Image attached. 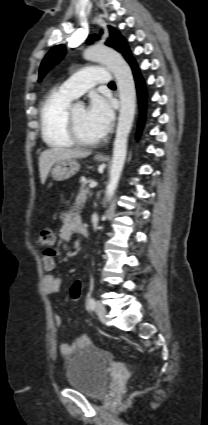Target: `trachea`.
I'll use <instances>...</instances> for the list:
<instances>
[{"label":"trachea","mask_w":208,"mask_h":425,"mask_svg":"<svg viewBox=\"0 0 208 425\" xmlns=\"http://www.w3.org/2000/svg\"><path fill=\"white\" fill-rule=\"evenodd\" d=\"M109 86H115V83L114 82H110L109 83Z\"/></svg>","instance_id":"obj_1"}]
</instances>
